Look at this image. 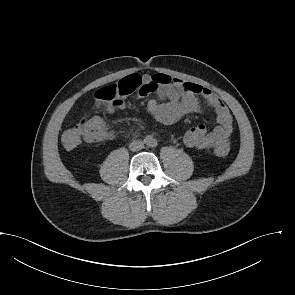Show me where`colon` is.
I'll return each instance as SVG.
<instances>
[{
  "mask_svg": "<svg viewBox=\"0 0 295 295\" xmlns=\"http://www.w3.org/2000/svg\"><path fill=\"white\" fill-rule=\"evenodd\" d=\"M142 87V77L132 74L124 77L117 83L99 89L95 93V99L105 106L113 104L120 100L121 97L127 96ZM97 116H87L80 119L75 124L65 129L62 133L61 140L66 149H74L79 146L83 140L88 137H97ZM215 154L220 157L227 156L230 152L229 142H224L214 150Z\"/></svg>",
  "mask_w": 295,
  "mask_h": 295,
  "instance_id": "colon-1",
  "label": "colon"
}]
</instances>
